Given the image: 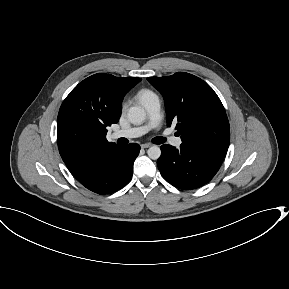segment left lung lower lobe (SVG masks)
I'll return each mask as SVG.
<instances>
[{"label": "left lung lower lobe", "mask_w": 289, "mask_h": 289, "mask_svg": "<svg viewBox=\"0 0 289 289\" xmlns=\"http://www.w3.org/2000/svg\"><path fill=\"white\" fill-rule=\"evenodd\" d=\"M161 151L157 161L161 175L173 186L183 190L195 189L209 182L224 159L183 144L180 149L165 144L161 146Z\"/></svg>", "instance_id": "obj_1"}]
</instances>
